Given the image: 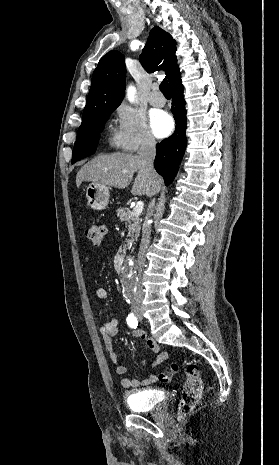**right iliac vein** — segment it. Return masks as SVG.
<instances>
[{
    "mask_svg": "<svg viewBox=\"0 0 279 465\" xmlns=\"http://www.w3.org/2000/svg\"><path fill=\"white\" fill-rule=\"evenodd\" d=\"M134 313H135V315H137V316L141 315V309H138V308L135 309V310H134Z\"/></svg>",
    "mask_w": 279,
    "mask_h": 465,
    "instance_id": "63e3f726",
    "label": "right iliac vein"
}]
</instances>
